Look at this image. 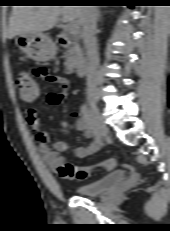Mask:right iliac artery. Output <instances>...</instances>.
I'll return each instance as SVG.
<instances>
[{"label": "right iliac artery", "mask_w": 170, "mask_h": 231, "mask_svg": "<svg viewBox=\"0 0 170 231\" xmlns=\"http://www.w3.org/2000/svg\"><path fill=\"white\" fill-rule=\"evenodd\" d=\"M82 117L86 120L89 130L94 134V136L100 139V134L97 129V126L89 114V110L86 104H83L81 107Z\"/></svg>", "instance_id": "obj_1"}]
</instances>
